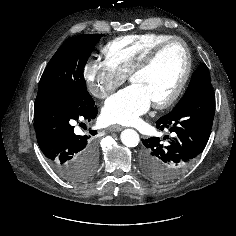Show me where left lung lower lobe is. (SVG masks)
<instances>
[{
    "mask_svg": "<svg viewBox=\"0 0 236 236\" xmlns=\"http://www.w3.org/2000/svg\"><path fill=\"white\" fill-rule=\"evenodd\" d=\"M215 113L212 86L196 93L179 109L156 122L160 130L168 128L171 137L163 143L158 137L142 139V171L158 181H169L186 170L203 152L210 137Z\"/></svg>",
    "mask_w": 236,
    "mask_h": 236,
    "instance_id": "obj_1",
    "label": "left lung lower lobe"
}]
</instances>
